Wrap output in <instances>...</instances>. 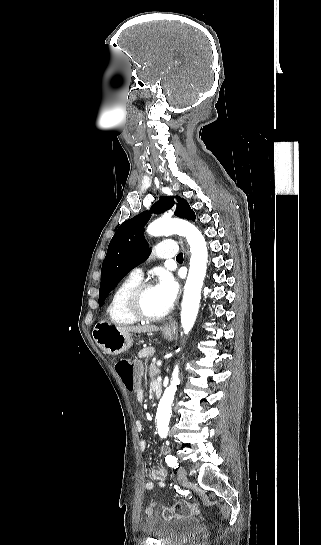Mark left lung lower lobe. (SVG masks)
<instances>
[{
  "label": "left lung lower lobe",
  "instance_id": "1",
  "mask_svg": "<svg viewBox=\"0 0 321 545\" xmlns=\"http://www.w3.org/2000/svg\"><path fill=\"white\" fill-rule=\"evenodd\" d=\"M192 220H195V215L192 217Z\"/></svg>",
  "mask_w": 321,
  "mask_h": 545
}]
</instances>
